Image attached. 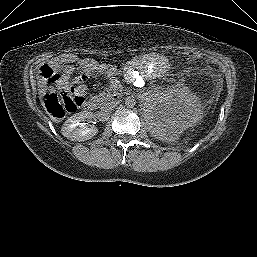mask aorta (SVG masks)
Returning <instances> with one entry per match:
<instances>
[{
    "mask_svg": "<svg viewBox=\"0 0 257 257\" xmlns=\"http://www.w3.org/2000/svg\"><path fill=\"white\" fill-rule=\"evenodd\" d=\"M136 104V101L133 97H127L126 100H125V105L129 108H132L134 107Z\"/></svg>",
    "mask_w": 257,
    "mask_h": 257,
    "instance_id": "obj_1",
    "label": "aorta"
}]
</instances>
